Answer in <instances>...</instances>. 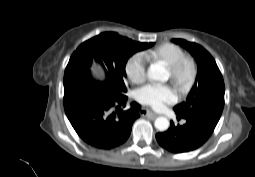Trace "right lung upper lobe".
Here are the masks:
<instances>
[{
	"label": "right lung upper lobe",
	"instance_id": "right-lung-upper-lobe-1",
	"mask_svg": "<svg viewBox=\"0 0 255 177\" xmlns=\"http://www.w3.org/2000/svg\"><path fill=\"white\" fill-rule=\"evenodd\" d=\"M108 33H110L112 36H116L117 35V33H114V32H108Z\"/></svg>",
	"mask_w": 255,
	"mask_h": 177
}]
</instances>
